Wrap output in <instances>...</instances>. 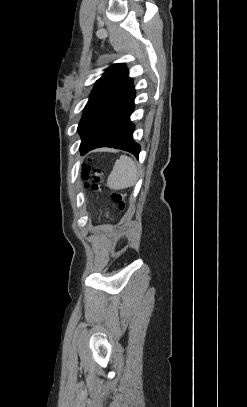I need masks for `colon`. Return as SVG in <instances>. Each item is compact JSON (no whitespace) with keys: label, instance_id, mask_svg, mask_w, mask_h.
<instances>
[{"label":"colon","instance_id":"colon-1","mask_svg":"<svg viewBox=\"0 0 247 407\" xmlns=\"http://www.w3.org/2000/svg\"><path fill=\"white\" fill-rule=\"evenodd\" d=\"M94 175V182L89 183L87 186L92 190H100L102 185L101 172L99 169L92 168L89 163H85L82 167V177L87 180L89 176ZM126 195L121 192H112L111 199L114 203L118 204L119 208L123 211L126 209Z\"/></svg>","mask_w":247,"mask_h":407}]
</instances>
